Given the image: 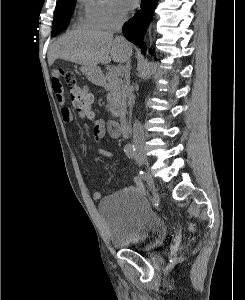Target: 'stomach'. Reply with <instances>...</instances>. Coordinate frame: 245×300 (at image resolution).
<instances>
[{
	"mask_svg": "<svg viewBox=\"0 0 245 300\" xmlns=\"http://www.w3.org/2000/svg\"><path fill=\"white\" fill-rule=\"evenodd\" d=\"M81 72L88 77L91 81H97L100 77V70L98 67H88L82 66L80 68Z\"/></svg>",
	"mask_w": 245,
	"mask_h": 300,
	"instance_id": "stomach-1",
	"label": "stomach"
}]
</instances>
